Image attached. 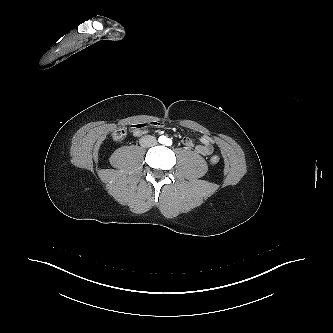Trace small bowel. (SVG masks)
I'll use <instances>...</instances> for the list:
<instances>
[{
	"mask_svg": "<svg viewBox=\"0 0 333 333\" xmlns=\"http://www.w3.org/2000/svg\"><path fill=\"white\" fill-rule=\"evenodd\" d=\"M155 127H161L162 123L153 122ZM131 132L134 136H142L146 133V125L144 123L131 125ZM182 143L188 148H194L195 151L201 155H210L213 151L212 140L210 137L204 135L200 138V142L195 145L193 140L187 136L183 137Z\"/></svg>",
	"mask_w": 333,
	"mask_h": 333,
	"instance_id": "1",
	"label": "small bowel"
}]
</instances>
